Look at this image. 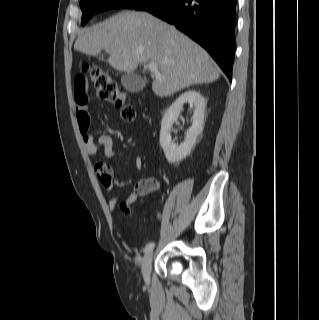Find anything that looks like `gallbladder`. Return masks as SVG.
<instances>
[{
	"label": "gallbladder",
	"instance_id": "obj_1",
	"mask_svg": "<svg viewBox=\"0 0 319 320\" xmlns=\"http://www.w3.org/2000/svg\"><path fill=\"white\" fill-rule=\"evenodd\" d=\"M121 83L127 91L133 93L139 92L145 87V80L135 73L123 75Z\"/></svg>",
	"mask_w": 319,
	"mask_h": 320
}]
</instances>
